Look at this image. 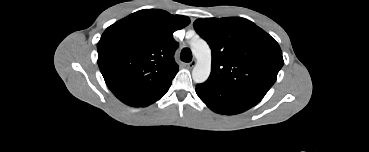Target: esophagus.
<instances>
[{"mask_svg":"<svg viewBox=\"0 0 369 152\" xmlns=\"http://www.w3.org/2000/svg\"><path fill=\"white\" fill-rule=\"evenodd\" d=\"M195 65H196V61H195V60H192L191 62H189V63L187 64V67H188V68H193Z\"/></svg>","mask_w":369,"mask_h":152,"instance_id":"esophagus-1","label":"esophagus"}]
</instances>
